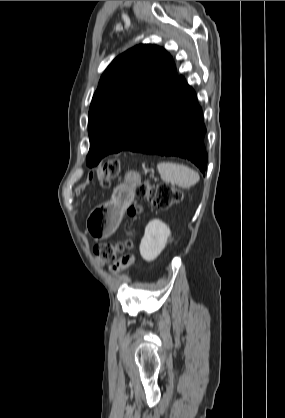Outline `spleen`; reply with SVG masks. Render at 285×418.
<instances>
[{"label": "spleen", "instance_id": "3e777b00", "mask_svg": "<svg viewBox=\"0 0 285 418\" xmlns=\"http://www.w3.org/2000/svg\"><path fill=\"white\" fill-rule=\"evenodd\" d=\"M157 169L163 181L189 188L198 183L199 174L193 169L178 163L160 162Z\"/></svg>", "mask_w": 285, "mask_h": 418}]
</instances>
